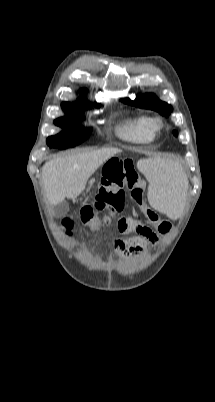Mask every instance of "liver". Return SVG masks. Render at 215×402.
Instances as JSON below:
<instances>
[{
    "label": "liver",
    "instance_id": "liver-1",
    "mask_svg": "<svg viewBox=\"0 0 215 402\" xmlns=\"http://www.w3.org/2000/svg\"><path fill=\"white\" fill-rule=\"evenodd\" d=\"M119 152L117 148H103L46 162L42 168V184L48 203L57 205L65 198L74 200L95 171Z\"/></svg>",
    "mask_w": 215,
    "mask_h": 402
}]
</instances>
